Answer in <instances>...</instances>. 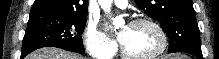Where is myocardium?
<instances>
[{
    "mask_svg": "<svg viewBox=\"0 0 219 59\" xmlns=\"http://www.w3.org/2000/svg\"><path fill=\"white\" fill-rule=\"evenodd\" d=\"M144 24L151 26L157 32L160 38V44L158 48L150 54L138 56V55L130 54L123 47V45L120 44V53L123 58L125 59H155L161 56L162 54H164V52L166 51L167 46H168V36L165 30L162 28V26L158 22L150 18H138V19L133 20L130 23V26H138V25H144Z\"/></svg>",
    "mask_w": 219,
    "mask_h": 59,
    "instance_id": "f54148a6",
    "label": "myocardium"
}]
</instances>
